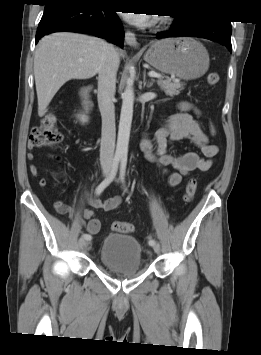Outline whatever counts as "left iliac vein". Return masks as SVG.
<instances>
[{"label": "left iliac vein", "instance_id": "left-iliac-vein-1", "mask_svg": "<svg viewBox=\"0 0 261 355\" xmlns=\"http://www.w3.org/2000/svg\"><path fill=\"white\" fill-rule=\"evenodd\" d=\"M153 249H154L155 253H159L160 252V245L158 243H155L153 245Z\"/></svg>", "mask_w": 261, "mask_h": 355}]
</instances>
